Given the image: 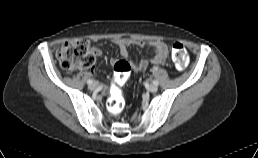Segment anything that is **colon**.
<instances>
[{"instance_id":"colon-1","label":"colon","mask_w":258,"mask_h":158,"mask_svg":"<svg viewBox=\"0 0 258 158\" xmlns=\"http://www.w3.org/2000/svg\"><path fill=\"white\" fill-rule=\"evenodd\" d=\"M172 62L179 71L184 70L189 63V56L186 47L175 42L171 45ZM57 58L61 68L71 72L80 67H91L95 63L96 56L89 48L84 39H72L62 44L57 50ZM131 72V65L126 60H119L114 63V75L112 80L111 97L108 108L112 114L120 113L125 105L122 87L126 83Z\"/></svg>"}]
</instances>
